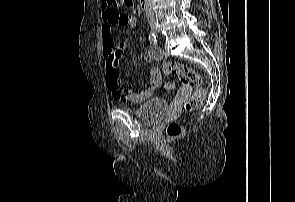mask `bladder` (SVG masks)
Instances as JSON below:
<instances>
[{
	"mask_svg": "<svg viewBox=\"0 0 295 202\" xmlns=\"http://www.w3.org/2000/svg\"><path fill=\"white\" fill-rule=\"evenodd\" d=\"M168 112V103L162 98H152L138 106L134 114L141 121L155 123Z\"/></svg>",
	"mask_w": 295,
	"mask_h": 202,
	"instance_id": "31cf9c89",
	"label": "bladder"
}]
</instances>
